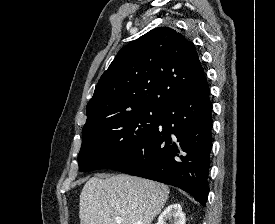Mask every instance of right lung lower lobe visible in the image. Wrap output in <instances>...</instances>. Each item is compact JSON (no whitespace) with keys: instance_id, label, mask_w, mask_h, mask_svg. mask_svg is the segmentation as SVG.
<instances>
[{"instance_id":"98d812e1","label":"right lung lower lobe","mask_w":275,"mask_h":224,"mask_svg":"<svg viewBox=\"0 0 275 224\" xmlns=\"http://www.w3.org/2000/svg\"><path fill=\"white\" fill-rule=\"evenodd\" d=\"M211 111L209 86L202 74L165 107L152 133L108 168L179 187L205 206L212 147Z\"/></svg>"}]
</instances>
